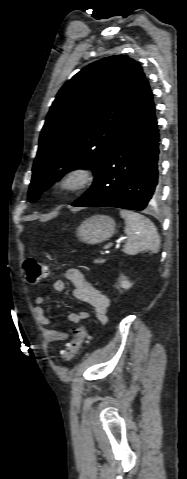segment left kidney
I'll list each match as a JSON object with an SVG mask.
<instances>
[{
    "label": "left kidney",
    "instance_id": "5707ae66",
    "mask_svg": "<svg viewBox=\"0 0 187 479\" xmlns=\"http://www.w3.org/2000/svg\"><path fill=\"white\" fill-rule=\"evenodd\" d=\"M120 286L124 289H129L132 284L127 280L125 276H122Z\"/></svg>",
    "mask_w": 187,
    "mask_h": 479
}]
</instances>
